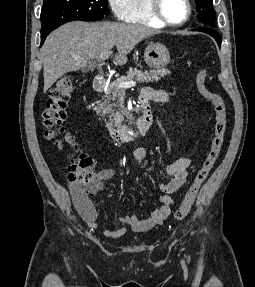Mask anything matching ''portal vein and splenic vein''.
I'll return each mask as SVG.
<instances>
[{
    "label": "portal vein and splenic vein",
    "instance_id": "1",
    "mask_svg": "<svg viewBox=\"0 0 255 287\" xmlns=\"http://www.w3.org/2000/svg\"><path fill=\"white\" fill-rule=\"evenodd\" d=\"M109 56L110 52H104L99 56V60H108ZM134 86H136V82H121V84H118V88H134Z\"/></svg>",
    "mask_w": 255,
    "mask_h": 287
}]
</instances>
